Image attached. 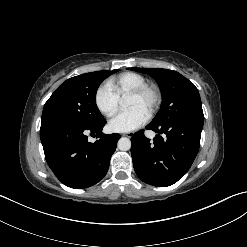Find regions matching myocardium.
Returning <instances> with one entry per match:
<instances>
[{"instance_id": "myocardium-1", "label": "myocardium", "mask_w": 247, "mask_h": 247, "mask_svg": "<svg viewBox=\"0 0 247 247\" xmlns=\"http://www.w3.org/2000/svg\"><path fill=\"white\" fill-rule=\"evenodd\" d=\"M128 96L142 98L150 96V104L148 107V115L152 116L160 107L162 102V93L158 86L154 84H145L128 93Z\"/></svg>"}]
</instances>
